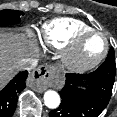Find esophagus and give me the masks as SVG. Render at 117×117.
Returning a JSON list of instances; mask_svg holds the SVG:
<instances>
[{
  "label": "esophagus",
  "mask_w": 117,
  "mask_h": 117,
  "mask_svg": "<svg viewBox=\"0 0 117 117\" xmlns=\"http://www.w3.org/2000/svg\"><path fill=\"white\" fill-rule=\"evenodd\" d=\"M54 74V67L42 65L35 69L29 76V85L37 92H43L50 86V80Z\"/></svg>",
  "instance_id": "obj_1"
}]
</instances>
